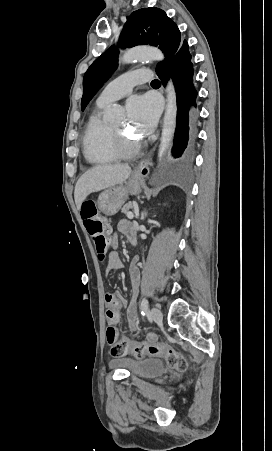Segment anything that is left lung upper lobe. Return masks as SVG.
Instances as JSON below:
<instances>
[{"label":"left lung upper lobe","mask_w":272,"mask_h":451,"mask_svg":"<svg viewBox=\"0 0 272 451\" xmlns=\"http://www.w3.org/2000/svg\"><path fill=\"white\" fill-rule=\"evenodd\" d=\"M182 41L177 25L166 13L159 8L149 7L134 11L127 17L119 45L123 47L152 45L161 49L165 55V60L157 65V71L172 59ZM117 58L118 50L115 46H112L88 68L83 78L82 110L85 109L99 88L117 68Z\"/></svg>","instance_id":"left-lung-upper-lobe-1"}]
</instances>
